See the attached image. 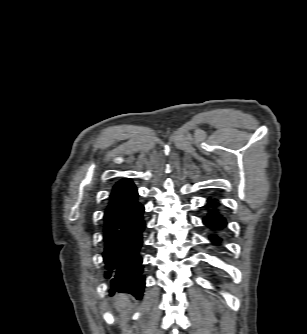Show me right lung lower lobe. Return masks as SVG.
<instances>
[{"instance_id":"1","label":"right lung lower lobe","mask_w":307,"mask_h":334,"mask_svg":"<svg viewBox=\"0 0 307 334\" xmlns=\"http://www.w3.org/2000/svg\"><path fill=\"white\" fill-rule=\"evenodd\" d=\"M137 196V189L130 180H121L113 187L103 218L102 255L110 294L124 292L141 299L145 277L141 275L143 267L139 253L146 223L144 206Z\"/></svg>"}]
</instances>
